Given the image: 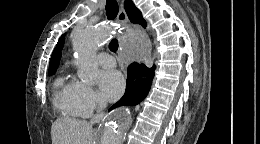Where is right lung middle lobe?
<instances>
[{"label":"right lung middle lobe","instance_id":"1","mask_svg":"<svg viewBox=\"0 0 260 144\" xmlns=\"http://www.w3.org/2000/svg\"><path fill=\"white\" fill-rule=\"evenodd\" d=\"M55 73V71H49V75H52V74H54Z\"/></svg>","mask_w":260,"mask_h":144}]
</instances>
